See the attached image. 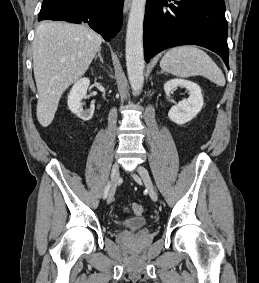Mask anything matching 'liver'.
<instances>
[{"label": "liver", "instance_id": "obj_1", "mask_svg": "<svg viewBox=\"0 0 259 283\" xmlns=\"http://www.w3.org/2000/svg\"><path fill=\"white\" fill-rule=\"evenodd\" d=\"M102 37L84 24L45 21L32 44L38 91L37 119L49 126L63 92L89 68L101 49Z\"/></svg>", "mask_w": 259, "mask_h": 283}]
</instances>
